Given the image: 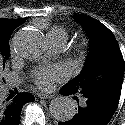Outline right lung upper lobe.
Returning <instances> with one entry per match:
<instances>
[{
	"label": "right lung upper lobe",
	"instance_id": "obj_1",
	"mask_svg": "<svg viewBox=\"0 0 125 125\" xmlns=\"http://www.w3.org/2000/svg\"><path fill=\"white\" fill-rule=\"evenodd\" d=\"M26 18L21 19H0V31L12 33L18 26L23 24Z\"/></svg>",
	"mask_w": 125,
	"mask_h": 125
}]
</instances>
